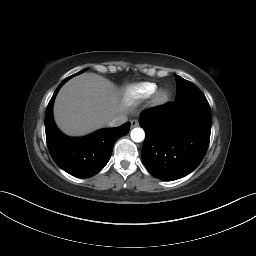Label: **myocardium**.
<instances>
[{"label":"myocardium","mask_w":256,"mask_h":256,"mask_svg":"<svg viewBox=\"0 0 256 256\" xmlns=\"http://www.w3.org/2000/svg\"><path fill=\"white\" fill-rule=\"evenodd\" d=\"M169 99V92L166 89H160L155 93L154 96V104L155 105H163Z\"/></svg>","instance_id":"myocardium-1"}]
</instances>
